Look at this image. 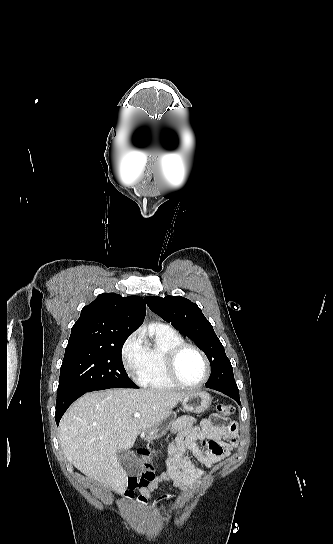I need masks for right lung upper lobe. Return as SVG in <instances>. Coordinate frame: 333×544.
Instances as JSON below:
<instances>
[{
  "instance_id": "right-lung-upper-lobe-1",
  "label": "right lung upper lobe",
  "mask_w": 333,
  "mask_h": 544,
  "mask_svg": "<svg viewBox=\"0 0 333 544\" xmlns=\"http://www.w3.org/2000/svg\"><path fill=\"white\" fill-rule=\"evenodd\" d=\"M145 307L140 296L100 294L82 309L71 329L66 349L105 346L120 336H129L143 323Z\"/></svg>"
}]
</instances>
